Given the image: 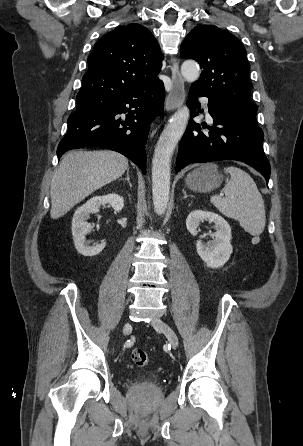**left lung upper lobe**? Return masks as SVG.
I'll return each instance as SVG.
<instances>
[{
	"mask_svg": "<svg viewBox=\"0 0 303 446\" xmlns=\"http://www.w3.org/2000/svg\"><path fill=\"white\" fill-rule=\"evenodd\" d=\"M180 54L184 59L196 60L203 69L192 87L226 101L257 123V107L250 99L246 50L234 35L214 25H198L184 39Z\"/></svg>",
	"mask_w": 303,
	"mask_h": 446,
	"instance_id": "obj_1",
	"label": "left lung upper lobe"
}]
</instances>
